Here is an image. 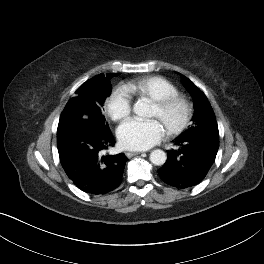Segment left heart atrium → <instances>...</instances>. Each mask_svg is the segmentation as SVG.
<instances>
[{
	"label": "left heart atrium",
	"instance_id": "39dd6f15",
	"mask_svg": "<svg viewBox=\"0 0 264 264\" xmlns=\"http://www.w3.org/2000/svg\"><path fill=\"white\" fill-rule=\"evenodd\" d=\"M120 143L128 149L146 150L157 144L165 135L163 124L156 119L131 118L117 131Z\"/></svg>",
	"mask_w": 264,
	"mask_h": 264
}]
</instances>
